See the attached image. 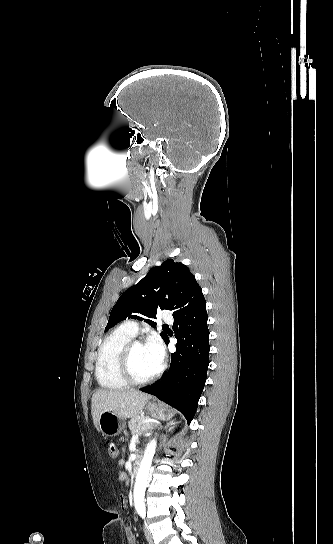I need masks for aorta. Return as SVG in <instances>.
Here are the masks:
<instances>
[{
  "instance_id": "762f6f07",
  "label": "aorta",
  "mask_w": 333,
  "mask_h": 544,
  "mask_svg": "<svg viewBox=\"0 0 333 544\" xmlns=\"http://www.w3.org/2000/svg\"><path fill=\"white\" fill-rule=\"evenodd\" d=\"M156 444L157 442L152 440L147 445L136 476L133 494L134 505L137 509H143L145 507L144 496L147 487V477L152 464L153 456L155 454Z\"/></svg>"
}]
</instances>
